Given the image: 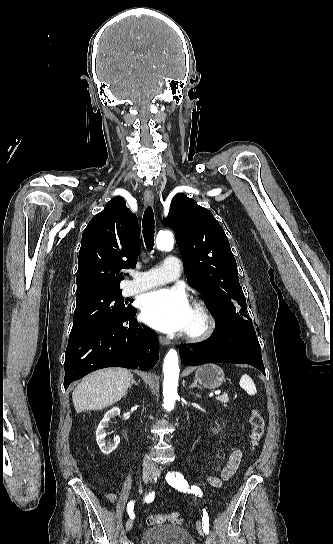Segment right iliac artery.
Returning a JSON list of instances; mask_svg holds the SVG:
<instances>
[{"mask_svg":"<svg viewBox=\"0 0 333 544\" xmlns=\"http://www.w3.org/2000/svg\"><path fill=\"white\" fill-rule=\"evenodd\" d=\"M154 500V495L152 493H149L146 497H145V501L146 502H152ZM134 501H130L127 505V512H128V515L130 518H134L135 517V514H134Z\"/></svg>","mask_w":333,"mask_h":544,"instance_id":"82829eb1","label":"right iliac artery"}]
</instances>
